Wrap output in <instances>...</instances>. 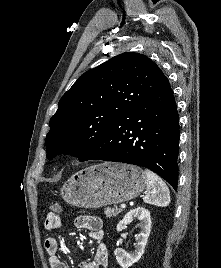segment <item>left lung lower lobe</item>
Here are the masks:
<instances>
[{
    "instance_id": "obj_1",
    "label": "left lung lower lobe",
    "mask_w": 221,
    "mask_h": 268,
    "mask_svg": "<svg viewBox=\"0 0 221 268\" xmlns=\"http://www.w3.org/2000/svg\"><path fill=\"white\" fill-rule=\"evenodd\" d=\"M178 146L179 116L169 84L120 116L88 160L146 167L176 190Z\"/></svg>"
}]
</instances>
